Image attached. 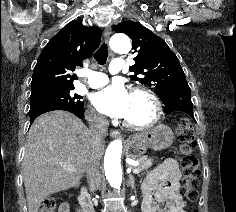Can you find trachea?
<instances>
[{"instance_id": "1", "label": "trachea", "mask_w": 236, "mask_h": 212, "mask_svg": "<svg viewBox=\"0 0 236 212\" xmlns=\"http://www.w3.org/2000/svg\"><path fill=\"white\" fill-rule=\"evenodd\" d=\"M94 58L100 65H104L106 63L108 58V48L106 44L103 43L100 46V48L95 52Z\"/></svg>"}]
</instances>
